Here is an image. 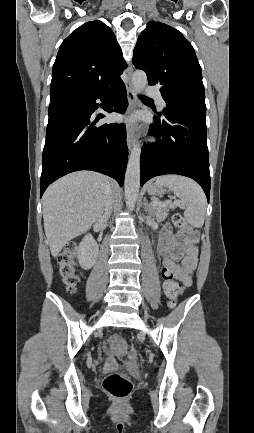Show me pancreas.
<instances>
[{"label": "pancreas", "instance_id": "pancreas-1", "mask_svg": "<svg viewBox=\"0 0 254 433\" xmlns=\"http://www.w3.org/2000/svg\"><path fill=\"white\" fill-rule=\"evenodd\" d=\"M174 204H166L165 206H152V215L157 218L158 221L164 220L167 218L169 210L174 209Z\"/></svg>", "mask_w": 254, "mask_h": 433}]
</instances>
